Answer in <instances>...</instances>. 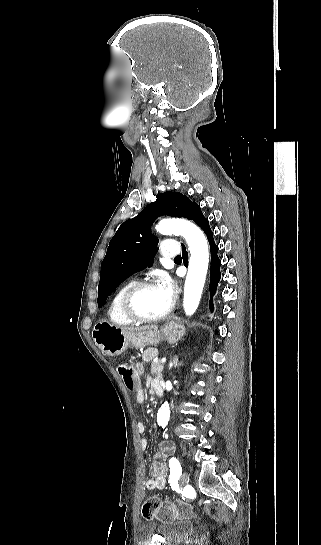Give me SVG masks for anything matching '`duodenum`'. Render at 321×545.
Returning a JSON list of instances; mask_svg holds the SVG:
<instances>
[{
  "label": "duodenum",
  "instance_id": "obj_1",
  "mask_svg": "<svg viewBox=\"0 0 321 545\" xmlns=\"http://www.w3.org/2000/svg\"><path fill=\"white\" fill-rule=\"evenodd\" d=\"M156 392H157L158 394H161V389L157 388V389H156Z\"/></svg>",
  "mask_w": 321,
  "mask_h": 545
}]
</instances>
